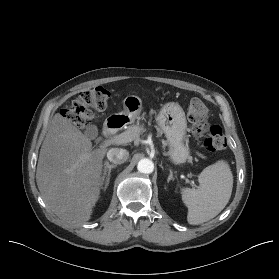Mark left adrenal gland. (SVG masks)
<instances>
[{"label": "left adrenal gland", "mask_w": 279, "mask_h": 279, "mask_svg": "<svg viewBox=\"0 0 279 279\" xmlns=\"http://www.w3.org/2000/svg\"><path fill=\"white\" fill-rule=\"evenodd\" d=\"M170 180H174V177H173V172L171 169H169V176L167 178V182H169Z\"/></svg>", "instance_id": "a2214340"}]
</instances>
